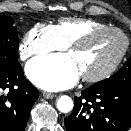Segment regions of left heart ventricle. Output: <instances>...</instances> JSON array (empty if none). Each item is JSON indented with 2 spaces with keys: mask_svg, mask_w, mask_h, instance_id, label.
Wrapping results in <instances>:
<instances>
[{
  "mask_svg": "<svg viewBox=\"0 0 131 131\" xmlns=\"http://www.w3.org/2000/svg\"><path fill=\"white\" fill-rule=\"evenodd\" d=\"M124 46L120 34L107 32L95 36L85 46L70 50L81 75L96 74L109 66Z\"/></svg>",
  "mask_w": 131,
  "mask_h": 131,
  "instance_id": "1",
  "label": "left heart ventricle"
}]
</instances>
